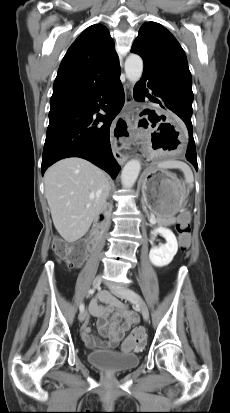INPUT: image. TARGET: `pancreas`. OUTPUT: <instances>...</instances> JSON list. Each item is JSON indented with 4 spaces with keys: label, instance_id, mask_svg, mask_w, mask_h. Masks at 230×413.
<instances>
[{
    "label": "pancreas",
    "instance_id": "pancreas-1",
    "mask_svg": "<svg viewBox=\"0 0 230 413\" xmlns=\"http://www.w3.org/2000/svg\"><path fill=\"white\" fill-rule=\"evenodd\" d=\"M160 224H163V225H165V226H170V225H172L173 223H174V219L173 218H170V219H167V220H164V221H158Z\"/></svg>",
    "mask_w": 230,
    "mask_h": 413
}]
</instances>
